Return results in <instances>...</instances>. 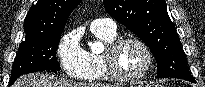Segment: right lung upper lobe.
Wrapping results in <instances>:
<instances>
[{"instance_id":"1","label":"right lung upper lobe","mask_w":205,"mask_h":87,"mask_svg":"<svg viewBox=\"0 0 205 87\" xmlns=\"http://www.w3.org/2000/svg\"><path fill=\"white\" fill-rule=\"evenodd\" d=\"M81 0H39L33 5L25 20L26 35L62 32L67 19Z\"/></svg>"}]
</instances>
